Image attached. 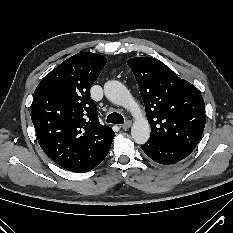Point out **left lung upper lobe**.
I'll list each match as a JSON object with an SVG mask.
<instances>
[{
  "instance_id": "1",
  "label": "left lung upper lobe",
  "mask_w": 233,
  "mask_h": 233,
  "mask_svg": "<svg viewBox=\"0 0 233 233\" xmlns=\"http://www.w3.org/2000/svg\"><path fill=\"white\" fill-rule=\"evenodd\" d=\"M127 64L145 105L150 139L193 151L206 121L199 90L155 58L135 57Z\"/></svg>"
}]
</instances>
